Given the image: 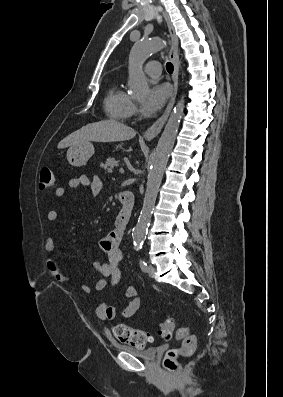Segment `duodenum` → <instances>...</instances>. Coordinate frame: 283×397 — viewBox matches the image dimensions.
I'll return each instance as SVG.
<instances>
[{"label": "duodenum", "instance_id": "duodenum-1", "mask_svg": "<svg viewBox=\"0 0 283 397\" xmlns=\"http://www.w3.org/2000/svg\"><path fill=\"white\" fill-rule=\"evenodd\" d=\"M118 198L121 208L116 217L115 226L119 231L123 232L130 222L135 200L133 193L129 191L121 192Z\"/></svg>", "mask_w": 283, "mask_h": 397}]
</instances>
